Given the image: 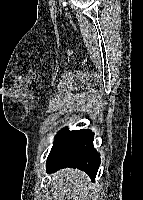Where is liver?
<instances>
[{
	"instance_id": "6515ba94",
	"label": "liver",
	"mask_w": 143,
	"mask_h": 200,
	"mask_svg": "<svg viewBox=\"0 0 143 200\" xmlns=\"http://www.w3.org/2000/svg\"><path fill=\"white\" fill-rule=\"evenodd\" d=\"M92 186L85 172L62 169L55 174L51 197L53 200H88L92 195Z\"/></svg>"
}]
</instances>
